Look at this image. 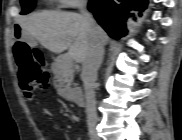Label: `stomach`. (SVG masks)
I'll use <instances>...</instances> for the list:
<instances>
[{
    "instance_id": "0dacf381",
    "label": "stomach",
    "mask_w": 182,
    "mask_h": 140,
    "mask_svg": "<svg viewBox=\"0 0 182 140\" xmlns=\"http://www.w3.org/2000/svg\"><path fill=\"white\" fill-rule=\"evenodd\" d=\"M13 30H25V25L22 22H11ZM16 41H27L31 46L35 45V39L32 36H26V31H15Z\"/></svg>"
}]
</instances>
